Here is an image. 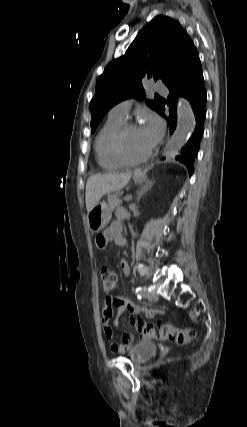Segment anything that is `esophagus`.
I'll list each match as a JSON object with an SVG mask.
<instances>
[{"instance_id":"1","label":"esophagus","mask_w":247,"mask_h":427,"mask_svg":"<svg viewBox=\"0 0 247 427\" xmlns=\"http://www.w3.org/2000/svg\"><path fill=\"white\" fill-rule=\"evenodd\" d=\"M136 173H137V174H141V171H140V170H137V171H136Z\"/></svg>"}]
</instances>
